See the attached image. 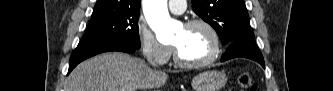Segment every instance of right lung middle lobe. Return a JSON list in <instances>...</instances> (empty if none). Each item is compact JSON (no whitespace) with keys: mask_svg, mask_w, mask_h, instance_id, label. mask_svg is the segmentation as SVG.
<instances>
[{"mask_svg":"<svg viewBox=\"0 0 333 91\" xmlns=\"http://www.w3.org/2000/svg\"><path fill=\"white\" fill-rule=\"evenodd\" d=\"M140 12H124L91 18L83 42L118 41L140 48L138 18Z\"/></svg>","mask_w":333,"mask_h":91,"instance_id":"dd1d6c3e","label":"right lung middle lobe"}]
</instances>
